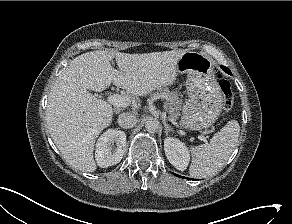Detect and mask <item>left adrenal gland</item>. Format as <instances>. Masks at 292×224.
Listing matches in <instances>:
<instances>
[{"label": "left adrenal gland", "instance_id": "1", "mask_svg": "<svg viewBox=\"0 0 292 224\" xmlns=\"http://www.w3.org/2000/svg\"><path fill=\"white\" fill-rule=\"evenodd\" d=\"M164 126H165V134H166V136L168 135V133L170 131L173 132V129L166 122H164Z\"/></svg>", "mask_w": 292, "mask_h": 224}]
</instances>
